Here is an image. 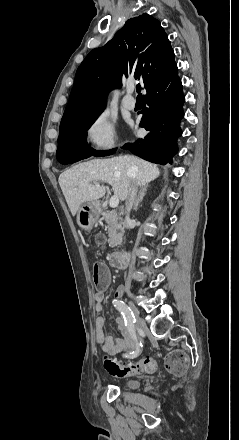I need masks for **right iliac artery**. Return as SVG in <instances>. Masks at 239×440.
I'll use <instances>...</instances> for the list:
<instances>
[{"label": "right iliac artery", "mask_w": 239, "mask_h": 440, "mask_svg": "<svg viewBox=\"0 0 239 440\" xmlns=\"http://www.w3.org/2000/svg\"><path fill=\"white\" fill-rule=\"evenodd\" d=\"M112 303L116 307V309L123 315L125 325L128 327L130 335H131L132 339L134 340V342L136 343L135 351H133L132 353H129L125 357L135 358L141 353V350H142V344L139 343L137 340V334H136L135 327H134V324L136 322L135 316H134L132 310L130 309V307L128 305H126L123 301L118 300V299H114L112 301Z\"/></svg>", "instance_id": "1"}]
</instances>
